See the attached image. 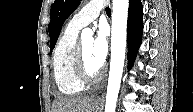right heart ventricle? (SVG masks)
<instances>
[{"instance_id": "1", "label": "right heart ventricle", "mask_w": 193, "mask_h": 112, "mask_svg": "<svg viewBox=\"0 0 193 112\" xmlns=\"http://www.w3.org/2000/svg\"><path fill=\"white\" fill-rule=\"evenodd\" d=\"M78 32V29L68 25L54 49V78L58 90L64 95H76L84 90V84L78 80L74 70Z\"/></svg>"}]
</instances>
